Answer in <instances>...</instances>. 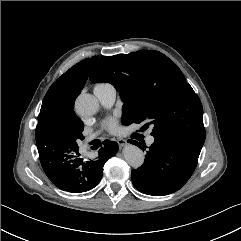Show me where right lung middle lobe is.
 <instances>
[{
	"instance_id": "dd1d6c3e",
	"label": "right lung middle lobe",
	"mask_w": 241,
	"mask_h": 241,
	"mask_svg": "<svg viewBox=\"0 0 241 241\" xmlns=\"http://www.w3.org/2000/svg\"><path fill=\"white\" fill-rule=\"evenodd\" d=\"M55 129L51 132V135L47 140H38L37 146L47 145H65L69 147L78 148L79 140H83V122L75 114L61 113L54 119Z\"/></svg>"
}]
</instances>
